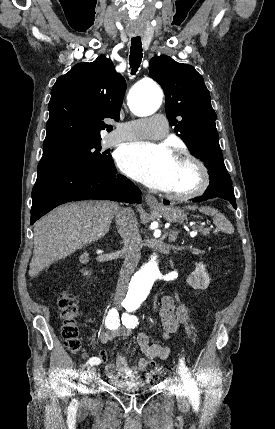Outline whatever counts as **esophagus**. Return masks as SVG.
Returning <instances> with one entry per match:
<instances>
[{"label": "esophagus", "instance_id": "esophagus-1", "mask_svg": "<svg viewBox=\"0 0 275 429\" xmlns=\"http://www.w3.org/2000/svg\"><path fill=\"white\" fill-rule=\"evenodd\" d=\"M145 201H146L147 205L151 208L160 207L158 200L153 195H150V194L145 195Z\"/></svg>", "mask_w": 275, "mask_h": 429}]
</instances>
